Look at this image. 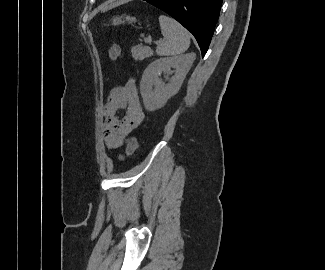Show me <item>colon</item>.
I'll return each instance as SVG.
<instances>
[{
	"label": "colon",
	"mask_w": 325,
	"mask_h": 270,
	"mask_svg": "<svg viewBox=\"0 0 325 270\" xmlns=\"http://www.w3.org/2000/svg\"><path fill=\"white\" fill-rule=\"evenodd\" d=\"M122 55V49L119 45H112L109 49V58L112 61L119 59ZM138 147V141L136 137H132L128 140L125 153L121 155V158L124 159L132 155Z\"/></svg>",
	"instance_id": "5ec220e1"
}]
</instances>
